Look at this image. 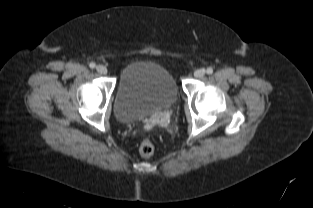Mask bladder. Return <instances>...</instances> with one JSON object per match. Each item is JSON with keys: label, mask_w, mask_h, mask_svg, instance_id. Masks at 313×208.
Segmentation results:
<instances>
[{"label": "bladder", "mask_w": 313, "mask_h": 208, "mask_svg": "<svg viewBox=\"0 0 313 208\" xmlns=\"http://www.w3.org/2000/svg\"><path fill=\"white\" fill-rule=\"evenodd\" d=\"M179 89L172 72L151 61L127 65L120 73L114 110L119 121L133 122L171 106Z\"/></svg>", "instance_id": "31cf9c89"}]
</instances>
